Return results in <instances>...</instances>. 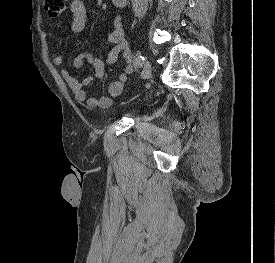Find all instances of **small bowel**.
Returning a JSON list of instances; mask_svg holds the SVG:
<instances>
[{
	"label": "small bowel",
	"instance_id": "obj_1",
	"mask_svg": "<svg viewBox=\"0 0 275 263\" xmlns=\"http://www.w3.org/2000/svg\"><path fill=\"white\" fill-rule=\"evenodd\" d=\"M71 15L65 23V29L70 30L73 33H82L85 29L87 22V7L81 0H73L70 5ZM114 28L107 35L104 40L105 44H111L112 48L109 51L106 64L113 65L119 57L122 58L125 68L124 72L120 74L114 81L109 84L108 95L101 98L88 97L84 89L95 81L101 79L105 74V63L103 60L92 52L86 51L78 54L73 60L74 69H80L84 63H88L93 69L94 75L87 76L82 81H79L73 76L66 68L62 67L63 58L61 52L56 50L52 56V62L55 66H58L61 77L68 84L71 89L75 100L79 102H86L91 108H109L113 100L122 94L124 85L127 81V75L134 70L133 66V54L129 49L128 42L125 38V31L121 19L117 17L114 20ZM63 43V37L58 41V45Z\"/></svg>",
	"mask_w": 275,
	"mask_h": 263
}]
</instances>
